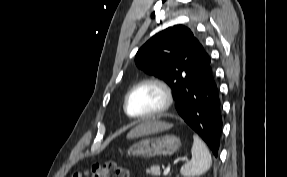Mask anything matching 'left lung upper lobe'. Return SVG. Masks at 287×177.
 <instances>
[{"mask_svg":"<svg viewBox=\"0 0 287 177\" xmlns=\"http://www.w3.org/2000/svg\"><path fill=\"white\" fill-rule=\"evenodd\" d=\"M136 65L164 80L178 105L187 87L210 62L203 44L183 26L169 27L150 38L137 52Z\"/></svg>","mask_w":287,"mask_h":177,"instance_id":"obj_1","label":"left lung upper lobe"}]
</instances>
